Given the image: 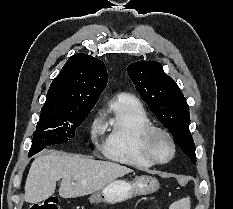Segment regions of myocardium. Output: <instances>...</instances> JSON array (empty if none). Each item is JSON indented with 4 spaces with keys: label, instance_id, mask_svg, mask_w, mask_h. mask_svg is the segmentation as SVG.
<instances>
[{
    "label": "myocardium",
    "instance_id": "myocardium-1",
    "mask_svg": "<svg viewBox=\"0 0 233 209\" xmlns=\"http://www.w3.org/2000/svg\"><path fill=\"white\" fill-rule=\"evenodd\" d=\"M158 135H163L164 137H166L171 146V154L169 158H167L166 160L159 159L155 155L152 148L153 141ZM141 145H142V150L146 155V157H148L151 161H153L156 164L169 163L174 158L176 153V143L173 135L167 129L160 126L152 125L148 129H146L142 136Z\"/></svg>",
    "mask_w": 233,
    "mask_h": 209
}]
</instances>
